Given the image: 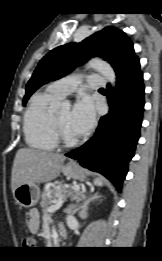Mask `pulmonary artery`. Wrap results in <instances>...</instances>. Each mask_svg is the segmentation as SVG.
<instances>
[{"instance_id":"pulmonary-artery-1","label":"pulmonary artery","mask_w":162,"mask_h":261,"mask_svg":"<svg viewBox=\"0 0 162 261\" xmlns=\"http://www.w3.org/2000/svg\"><path fill=\"white\" fill-rule=\"evenodd\" d=\"M81 86V76L71 75L50 83L47 89L56 96L63 98ZM105 81L101 75L87 76V87L90 89H101Z\"/></svg>"}]
</instances>
